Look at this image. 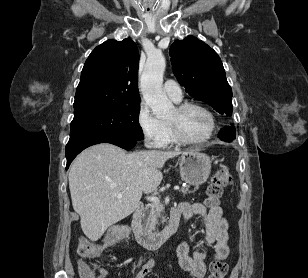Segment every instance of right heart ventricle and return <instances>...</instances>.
<instances>
[{
	"mask_svg": "<svg viewBox=\"0 0 308 278\" xmlns=\"http://www.w3.org/2000/svg\"><path fill=\"white\" fill-rule=\"evenodd\" d=\"M167 126H168V139H167L166 145L167 144H177V143H179V141L174 137V135H173V133H172L168 124H167Z\"/></svg>",
	"mask_w": 308,
	"mask_h": 278,
	"instance_id": "right-heart-ventricle-1",
	"label": "right heart ventricle"
}]
</instances>
